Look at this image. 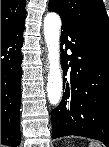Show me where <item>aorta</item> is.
<instances>
[{"label":"aorta","instance_id":"762f6f07","mask_svg":"<svg viewBox=\"0 0 109 147\" xmlns=\"http://www.w3.org/2000/svg\"><path fill=\"white\" fill-rule=\"evenodd\" d=\"M60 29V16L55 12L48 13L44 18V36L50 64L47 96L52 105L59 104L63 86L60 66Z\"/></svg>","mask_w":109,"mask_h":147}]
</instances>
